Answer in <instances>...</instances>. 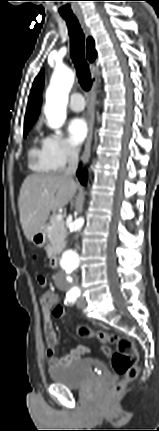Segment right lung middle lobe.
Segmentation results:
<instances>
[{"label": "right lung middle lobe", "mask_w": 159, "mask_h": 431, "mask_svg": "<svg viewBox=\"0 0 159 431\" xmlns=\"http://www.w3.org/2000/svg\"><path fill=\"white\" fill-rule=\"evenodd\" d=\"M32 126H26L24 127V137L27 135L28 131L30 130Z\"/></svg>", "instance_id": "1"}]
</instances>
